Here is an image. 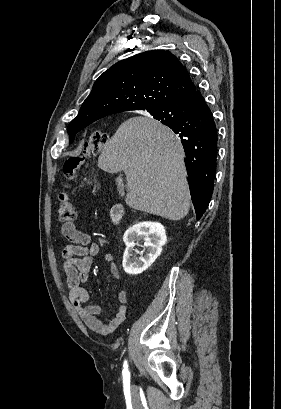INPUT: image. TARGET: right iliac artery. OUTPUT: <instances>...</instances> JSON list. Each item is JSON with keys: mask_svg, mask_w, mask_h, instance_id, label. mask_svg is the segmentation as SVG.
Returning <instances> with one entry per match:
<instances>
[{"mask_svg": "<svg viewBox=\"0 0 281 409\" xmlns=\"http://www.w3.org/2000/svg\"><path fill=\"white\" fill-rule=\"evenodd\" d=\"M123 377L124 378L129 377V372L127 370V363L126 362L124 363Z\"/></svg>", "mask_w": 281, "mask_h": 409, "instance_id": "obj_1", "label": "right iliac artery"}]
</instances>
